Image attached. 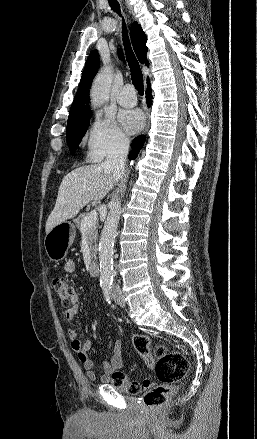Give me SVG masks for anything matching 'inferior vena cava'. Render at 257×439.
Here are the masks:
<instances>
[{
	"instance_id": "1",
	"label": "inferior vena cava",
	"mask_w": 257,
	"mask_h": 439,
	"mask_svg": "<svg viewBox=\"0 0 257 439\" xmlns=\"http://www.w3.org/2000/svg\"><path fill=\"white\" fill-rule=\"evenodd\" d=\"M129 139L118 138L110 147L104 166L113 169L114 176L118 180L124 172L125 161L129 150Z\"/></svg>"
}]
</instances>
